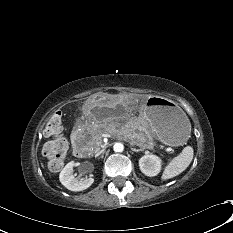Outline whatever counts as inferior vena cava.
<instances>
[{"instance_id":"inferior-vena-cava-1","label":"inferior vena cava","mask_w":233,"mask_h":233,"mask_svg":"<svg viewBox=\"0 0 233 233\" xmlns=\"http://www.w3.org/2000/svg\"><path fill=\"white\" fill-rule=\"evenodd\" d=\"M104 152V150H100V151H98L97 153H96V155L95 156H99L101 153H103Z\"/></svg>"}]
</instances>
